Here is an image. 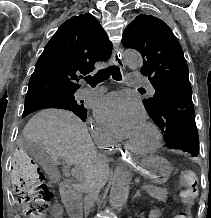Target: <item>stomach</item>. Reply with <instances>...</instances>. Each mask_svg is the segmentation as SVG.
Segmentation results:
<instances>
[{"label":"stomach","instance_id":"0dacf381","mask_svg":"<svg viewBox=\"0 0 211 218\" xmlns=\"http://www.w3.org/2000/svg\"><path fill=\"white\" fill-rule=\"evenodd\" d=\"M136 170L154 183L162 184L169 179L172 168L166 159L159 156H151L137 165Z\"/></svg>","mask_w":211,"mask_h":218}]
</instances>
